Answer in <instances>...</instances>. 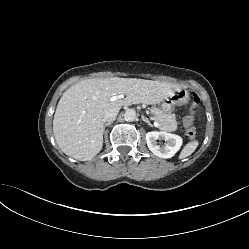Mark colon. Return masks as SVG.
<instances>
[{"label":"colon","mask_w":249,"mask_h":249,"mask_svg":"<svg viewBox=\"0 0 249 249\" xmlns=\"http://www.w3.org/2000/svg\"><path fill=\"white\" fill-rule=\"evenodd\" d=\"M192 99H193V104H192V108L189 111V113L184 117L183 119V125L184 127L187 129V136L192 139L195 136L196 130L194 127V121H195V108L197 103L199 102V98L196 94L192 95Z\"/></svg>","instance_id":"5ec220e1"}]
</instances>
